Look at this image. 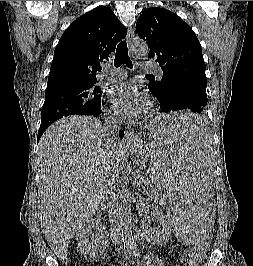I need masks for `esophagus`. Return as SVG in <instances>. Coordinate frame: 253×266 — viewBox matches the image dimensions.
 Wrapping results in <instances>:
<instances>
[{
	"label": "esophagus",
	"mask_w": 253,
	"mask_h": 266,
	"mask_svg": "<svg viewBox=\"0 0 253 266\" xmlns=\"http://www.w3.org/2000/svg\"><path fill=\"white\" fill-rule=\"evenodd\" d=\"M126 38H127L128 46L130 48V52L132 53L131 44H132V41H133V38H134V30H133L132 27L128 28V32H127V37ZM135 139H136V135H135L134 131L127 130L125 132L124 142L126 144L132 143L133 141H135Z\"/></svg>",
	"instance_id": "34e87169"
}]
</instances>
